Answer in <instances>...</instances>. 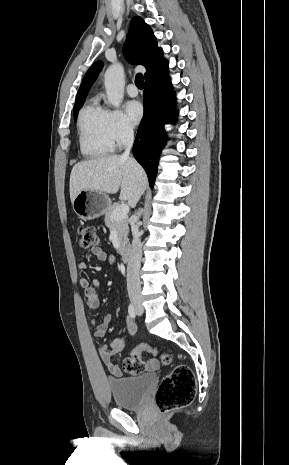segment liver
Instances as JSON below:
<instances>
[{
    "label": "liver",
    "mask_w": 289,
    "mask_h": 465,
    "mask_svg": "<svg viewBox=\"0 0 289 465\" xmlns=\"http://www.w3.org/2000/svg\"><path fill=\"white\" fill-rule=\"evenodd\" d=\"M147 186L144 169L133 158L108 155L77 163L70 174V199L83 190L115 194L135 206Z\"/></svg>",
    "instance_id": "6515ba94"
}]
</instances>
